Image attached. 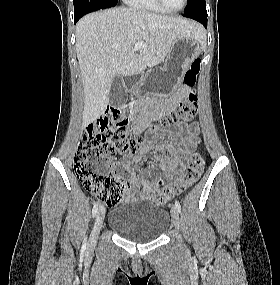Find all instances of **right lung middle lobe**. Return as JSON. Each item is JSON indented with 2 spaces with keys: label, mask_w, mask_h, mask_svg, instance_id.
<instances>
[{
  "label": "right lung middle lobe",
  "mask_w": 280,
  "mask_h": 285,
  "mask_svg": "<svg viewBox=\"0 0 280 285\" xmlns=\"http://www.w3.org/2000/svg\"><path fill=\"white\" fill-rule=\"evenodd\" d=\"M118 0H74V14L89 13L99 9L113 7Z\"/></svg>",
  "instance_id": "dd1d6c3e"
}]
</instances>
